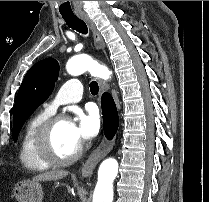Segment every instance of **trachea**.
<instances>
[{"label":"trachea","instance_id":"trachea-1","mask_svg":"<svg viewBox=\"0 0 209 202\" xmlns=\"http://www.w3.org/2000/svg\"><path fill=\"white\" fill-rule=\"evenodd\" d=\"M62 18L65 20L66 24L71 29L76 30L81 34L88 33L87 25L83 20L79 19L76 15H62ZM89 87L91 94L97 95L99 91L98 83L96 81H91Z\"/></svg>","mask_w":209,"mask_h":202}]
</instances>
